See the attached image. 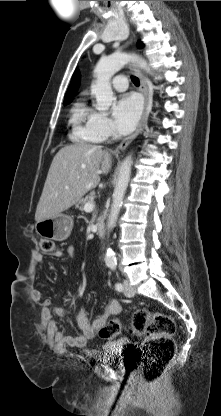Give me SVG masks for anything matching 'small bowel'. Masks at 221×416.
<instances>
[{
    "instance_id": "1",
    "label": "small bowel",
    "mask_w": 221,
    "mask_h": 416,
    "mask_svg": "<svg viewBox=\"0 0 221 416\" xmlns=\"http://www.w3.org/2000/svg\"><path fill=\"white\" fill-rule=\"evenodd\" d=\"M53 256L56 258H63L64 253L61 250H55ZM67 254L69 258L75 257V248L73 246H68ZM43 264V258L40 253H35L33 255V262L31 266V271H34L37 265ZM35 299L40 301L43 305L42 307V317L44 321L48 324L50 332L53 334L54 339L57 343L61 345H67L70 347H84L88 340L94 338L101 326H103L107 320L113 316H117L121 312V305L118 300L111 299L105 306L104 311L98 315L92 321L89 320L88 314L84 308H81L76 317V325L78 327L79 333L75 336L66 334L60 331L57 327L56 322L53 320V315H58L60 317H69V313L58 306L51 307L49 299H43L39 291L35 292ZM109 349L112 348L115 343L109 342L106 344Z\"/></svg>"
}]
</instances>
